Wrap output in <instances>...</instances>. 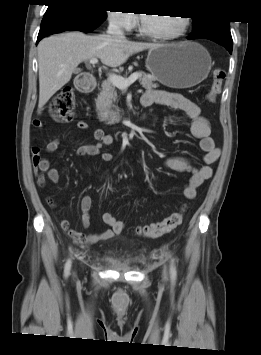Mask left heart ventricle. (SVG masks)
<instances>
[{
	"label": "left heart ventricle",
	"mask_w": 261,
	"mask_h": 355,
	"mask_svg": "<svg viewBox=\"0 0 261 355\" xmlns=\"http://www.w3.org/2000/svg\"><path fill=\"white\" fill-rule=\"evenodd\" d=\"M142 17L146 29L155 33L173 34L181 28V19L178 16H163L148 13Z\"/></svg>",
	"instance_id": "b2bd125f"
}]
</instances>
